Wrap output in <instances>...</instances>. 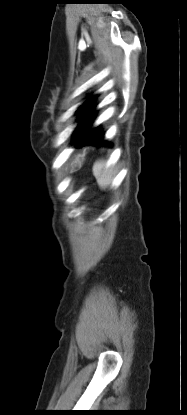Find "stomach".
I'll list each match as a JSON object with an SVG mask.
<instances>
[{"label": "stomach", "instance_id": "0dacf381", "mask_svg": "<svg viewBox=\"0 0 187 415\" xmlns=\"http://www.w3.org/2000/svg\"><path fill=\"white\" fill-rule=\"evenodd\" d=\"M79 157H82V156H78V157L75 159V161H74V163H75V164H81V161H80Z\"/></svg>", "mask_w": 187, "mask_h": 415}]
</instances>
